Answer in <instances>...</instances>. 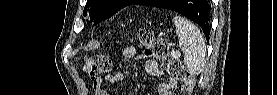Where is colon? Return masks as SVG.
Returning a JSON list of instances; mask_svg holds the SVG:
<instances>
[{
	"instance_id": "obj_1",
	"label": "colon",
	"mask_w": 277,
	"mask_h": 95,
	"mask_svg": "<svg viewBox=\"0 0 277 95\" xmlns=\"http://www.w3.org/2000/svg\"><path fill=\"white\" fill-rule=\"evenodd\" d=\"M138 42L146 54L157 58L164 70L181 81V85L175 94L190 95L195 85V77L189 73L184 65L175 59L169 52L167 41L155 36L147 28H140L137 32ZM111 60L104 54H95L87 57L84 71L94 78L108 72L111 68Z\"/></svg>"
}]
</instances>
